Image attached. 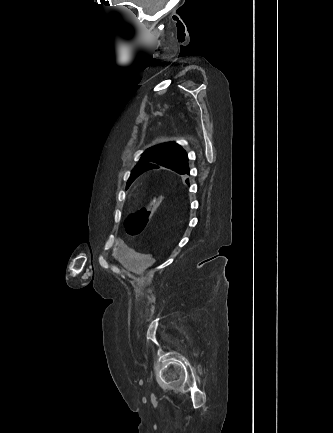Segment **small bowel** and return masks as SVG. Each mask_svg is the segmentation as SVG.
Returning a JSON list of instances; mask_svg holds the SVG:
<instances>
[{
	"label": "small bowel",
	"mask_w": 333,
	"mask_h": 433,
	"mask_svg": "<svg viewBox=\"0 0 333 433\" xmlns=\"http://www.w3.org/2000/svg\"><path fill=\"white\" fill-rule=\"evenodd\" d=\"M114 259L125 268L144 272L154 264V257L149 253H140L124 244H117Z\"/></svg>",
	"instance_id": "obj_1"
}]
</instances>
